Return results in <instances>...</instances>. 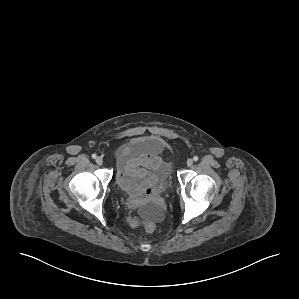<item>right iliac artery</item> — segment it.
Masks as SVG:
<instances>
[{
	"label": "right iliac artery",
	"instance_id": "obj_1",
	"mask_svg": "<svg viewBox=\"0 0 299 299\" xmlns=\"http://www.w3.org/2000/svg\"><path fill=\"white\" fill-rule=\"evenodd\" d=\"M97 157L96 154H92V158L95 159Z\"/></svg>",
	"mask_w": 299,
	"mask_h": 299
}]
</instances>
